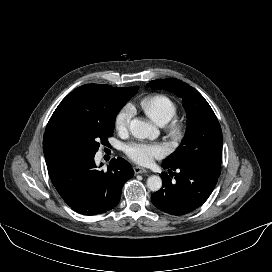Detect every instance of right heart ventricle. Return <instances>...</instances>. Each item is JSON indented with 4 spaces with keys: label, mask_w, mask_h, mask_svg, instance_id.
Instances as JSON below:
<instances>
[{
    "label": "right heart ventricle",
    "mask_w": 272,
    "mask_h": 272,
    "mask_svg": "<svg viewBox=\"0 0 272 272\" xmlns=\"http://www.w3.org/2000/svg\"><path fill=\"white\" fill-rule=\"evenodd\" d=\"M138 108L157 125H165L177 112V104L164 94L149 95L138 103Z\"/></svg>",
    "instance_id": "obj_1"
}]
</instances>
